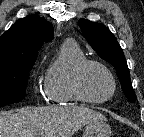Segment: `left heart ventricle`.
<instances>
[{"mask_svg": "<svg viewBox=\"0 0 144 137\" xmlns=\"http://www.w3.org/2000/svg\"><path fill=\"white\" fill-rule=\"evenodd\" d=\"M83 88L90 98L102 99L111 93L112 85L102 69L92 66L84 74Z\"/></svg>", "mask_w": 144, "mask_h": 137, "instance_id": "b2bd125f", "label": "left heart ventricle"}]
</instances>
